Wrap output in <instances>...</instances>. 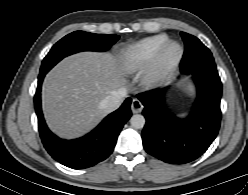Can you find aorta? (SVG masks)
Instances as JSON below:
<instances>
[{"label": "aorta", "mask_w": 248, "mask_h": 195, "mask_svg": "<svg viewBox=\"0 0 248 195\" xmlns=\"http://www.w3.org/2000/svg\"><path fill=\"white\" fill-rule=\"evenodd\" d=\"M130 124L135 129H142L145 125V118L141 114H135L131 117Z\"/></svg>", "instance_id": "aorta-1"}]
</instances>
